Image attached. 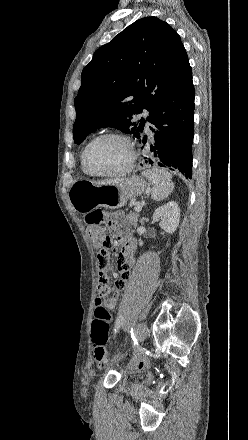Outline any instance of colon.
<instances>
[{
    "mask_svg": "<svg viewBox=\"0 0 248 440\" xmlns=\"http://www.w3.org/2000/svg\"><path fill=\"white\" fill-rule=\"evenodd\" d=\"M104 219L105 214L100 209L93 210L86 215L90 236L95 247L98 249V259L100 257H107L109 259L110 253L116 248L114 238L102 226ZM95 305L92 337L95 344V359L98 363L103 364L107 358L104 345L108 341L112 316L102 303H96Z\"/></svg>",
    "mask_w": 248,
    "mask_h": 440,
    "instance_id": "obj_1",
    "label": "colon"
}]
</instances>
